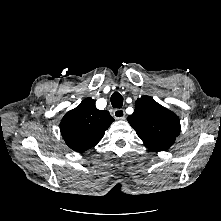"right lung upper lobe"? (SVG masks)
Listing matches in <instances>:
<instances>
[{
    "mask_svg": "<svg viewBox=\"0 0 221 221\" xmlns=\"http://www.w3.org/2000/svg\"><path fill=\"white\" fill-rule=\"evenodd\" d=\"M114 119L106 110H98L92 98L84 99L61 120L60 130L66 144L76 152L94 147Z\"/></svg>",
    "mask_w": 221,
    "mask_h": 221,
    "instance_id": "cb5924a9",
    "label": "right lung upper lobe"
}]
</instances>
